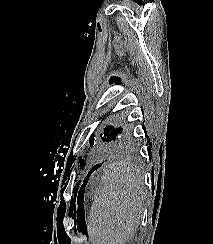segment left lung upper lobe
Masks as SVG:
<instances>
[{
  "label": "left lung upper lobe",
  "mask_w": 213,
  "mask_h": 244,
  "mask_svg": "<svg viewBox=\"0 0 213 244\" xmlns=\"http://www.w3.org/2000/svg\"><path fill=\"white\" fill-rule=\"evenodd\" d=\"M124 133V130L121 127H115L114 125H107L104 129V132L102 134H100V137L103 141L106 142H110L112 140H116V138L120 135H122ZM94 134H92V136L90 137L89 143L92 146L94 144ZM80 164L82 166L85 165L84 160L80 159ZM80 184V182H78L76 184V187Z\"/></svg>",
  "instance_id": "1"
}]
</instances>
